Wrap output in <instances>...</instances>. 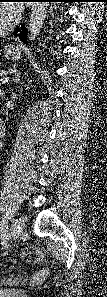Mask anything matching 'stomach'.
Listing matches in <instances>:
<instances>
[{"instance_id":"stomach-1","label":"stomach","mask_w":107,"mask_h":297,"mask_svg":"<svg viewBox=\"0 0 107 297\" xmlns=\"http://www.w3.org/2000/svg\"><path fill=\"white\" fill-rule=\"evenodd\" d=\"M3 56L7 60L18 61L21 58V49L14 45L5 46L3 49Z\"/></svg>"}]
</instances>
